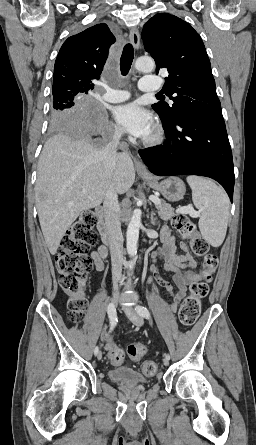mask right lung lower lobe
I'll return each instance as SVG.
<instances>
[{
    "label": "right lung lower lobe",
    "mask_w": 256,
    "mask_h": 445,
    "mask_svg": "<svg viewBox=\"0 0 256 445\" xmlns=\"http://www.w3.org/2000/svg\"><path fill=\"white\" fill-rule=\"evenodd\" d=\"M84 115L89 121V128L86 134L99 136L107 139L111 135V126L107 121V116L102 108L97 106H90Z\"/></svg>",
    "instance_id": "right-lung-lower-lobe-1"
}]
</instances>
